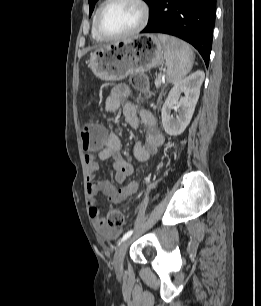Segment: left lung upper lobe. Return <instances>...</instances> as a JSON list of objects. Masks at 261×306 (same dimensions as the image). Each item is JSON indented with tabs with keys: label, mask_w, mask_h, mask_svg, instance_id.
Wrapping results in <instances>:
<instances>
[{
	"label": "left lung upper lobe",
	"mask_w": 261,
	"mask_h": 306,
	"mask_svg": "<svg viewBox=\"0 0 261 306\" xmlns=\"http://www.w3.org/2000/svg\"><path fill=\"white\" fill-rule=\"evenodd\" d=\"M98 0H88L89 2V7H90V10H89V16H91V13L94 9V6H95V3L97 2ZM146 3H150L152 0H144Z\"/></svg>",
	"instance_id": "1"
}]
</instances>
